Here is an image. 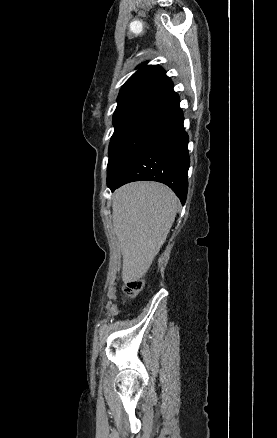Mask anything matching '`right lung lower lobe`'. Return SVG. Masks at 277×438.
Instances as JSON below:
<instances>
[{"instance_id":"right-lung-lower-lobe-1","label":"right lung lower lobe","mask_w":277,"mask_h":438,"mask_svg":"<svg viewBox=\"0 0 277 438\" xmlns=\"http://www.w3.org/2000/svg\"><path fill=\"white\" fill-rule=\"evenodd\" d=\"M179 103L173 106L146 145L132 160L122 176L107 183L112 192L132 181L151 180L168 185L185 203L190 164L188 135L183 127Z\"/></svg>"}]
</instances>
